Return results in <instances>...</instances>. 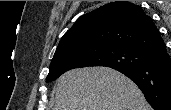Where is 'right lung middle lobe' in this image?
I'll use <instances>...</instances> for the list:
<instances>
[{
    "label": "right lung middle lobe",
    "mask_w": 171,
    "mask_h": 110,
    "mask_svg": "<svg viewBox=\"0 0 171 110\" xmlns=\"http://www.w3.org/2000/svg\"><path fill=\"white\" fill-rule=\"evenodd\" d=\"M148 60V54L119 46H88L55 55L46 82H51L64 72L87 66H107L114 69L136 67Z\"/></svg>",
    "instance_id": "1"
}]
</instances>
